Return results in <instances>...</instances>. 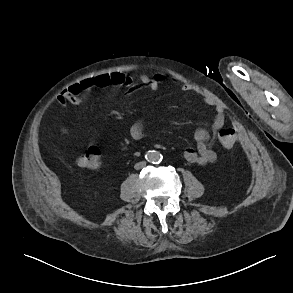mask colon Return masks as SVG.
<instances>
[{
    "label": "colon",
    "instance_id": "obj_1",
    "mask_svg": "<svg viewBox=\"0 0 293 293\" xmlns=\"http://www.w3.org/2000/svg\"><path fill=\"white\" fill-rule=\"evenodd\" d=\"M218 140L224 148H232L236 142L235 130L230 127L220 130ZM77 163L82 168L97 169L101 163L100 147L94 144L88 146L85 152L78 158Z\"/></svg>",
    "mask_w": 293,
    "mask_h": 293
}]
</instances>
